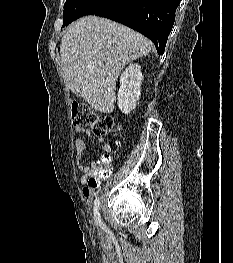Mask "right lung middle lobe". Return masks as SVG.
I'll return each instance as SVG.
<instances>
[{
	"instance_id": "obj_1",
	"label": "right lung middle lobe",
	"mask_w": 233,
	"mask_h": 263,
	"mask_svg": "<svg viewBox=\"0 0 233 263\" xmlns=\"http://www.w3.org/2000/svg\"><path fill=\"white\" fill-rule=\"evenodd\" d=\"M122 0H67L63 11V27L84 15H104L113 12Z\"/></svg>"
}]
</instances>
